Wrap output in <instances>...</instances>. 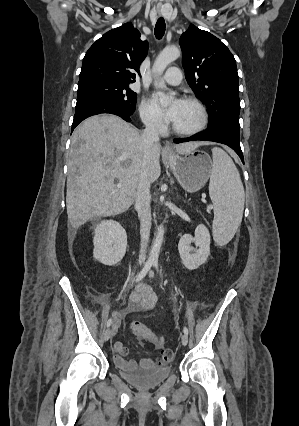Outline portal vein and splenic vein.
Here are the masks:
<instances>
[{
	"label": "portal vein and splenic vein",
	"instance_id": "obj_1",
	"mask_svg": "<svg viewBox=\"0 0 299 426\" xmlns=\"http://www.w3.org/2000/svg\"><path fill=\"white\" fill-rule=\"evenodd\" d=\"M117 188H121V184H117Z\"/></svg>",
	"mask_w": 299,
	"mask_h": 426
}]
</instances>
